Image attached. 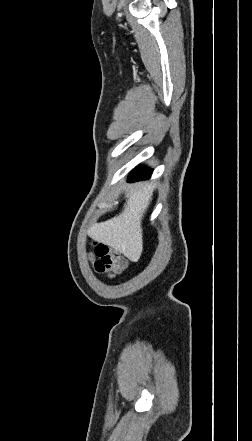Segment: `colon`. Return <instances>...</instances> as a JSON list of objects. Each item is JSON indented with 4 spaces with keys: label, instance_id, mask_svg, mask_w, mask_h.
I'll return each mask as SVG.
<instances>
[{
    "label": "colon",
    "instance_id": "colon-1",
    "mask_svg": "<svg viewBox=\"0 0 252 441\" xmlns=\"http://www.w3.org/2000/svg\"><path fill=\"white\" fill-rule=\"evenodd\" d=\"M94 268L109 278L120 273L127 265L126 259L111 247L98 243L94 246Z\"/></svg>",
    "mask_w": 252,
    "mask_h": 441
}]
</instances>
